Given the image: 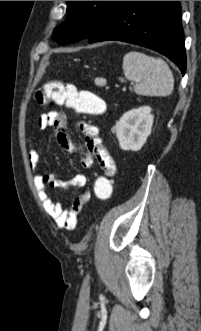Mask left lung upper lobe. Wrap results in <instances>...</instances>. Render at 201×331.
Returning <instances> with one entry per match:
<instances>
[{
	"instance_id": "left-lung-upper-lobe-1",
	"label": "left lung upper lobe",
	"mask_w": 201,
	"mask_h": 331,
	"mask_svg": "<svg viewBox=\"0 0 201 331\" xmlns=\"http://www.w3.org/2000/svg\"><path fill=\"white\" fill-rule=\"evenodd\" d=\"M120 1H67V19L55 28L59 44L89 38Z\"/></svg>"
}]
</instances>
